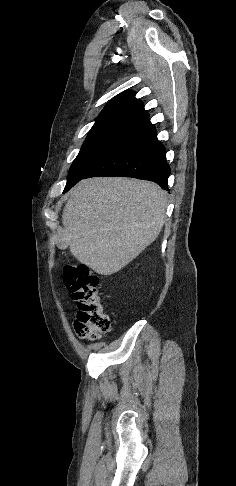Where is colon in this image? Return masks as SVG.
<instances>
[{"label": "colon", "instance_id": "obj_1", "mask_svg": "<svg viewBox=\"0 0 236 486\" xmlns=\"http://www.w3.org/2000/svg\"><path fill=\"white\" fill-rule=\"evenodd\" d=\"M64 282L78 306L74 329L79 338L95 340L110 330V319L101 302L98 276L83 264L64 269Z\"/></svg>", "mask_w": 236, "mask_h": 486}]
</instances>
